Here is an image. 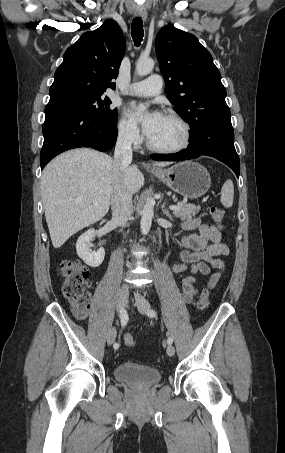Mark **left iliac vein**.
<instances>
[{
  "label": "left iliac vein",
  "mask_w": 285,
  "mask_h": 453,
  "mask_svg": "<svg viewBox=\"0 0 285 453\" xmlns=\"http://www.w3.org/2000/svg\"><path fill=\"white\" fill-rule=\"evenodd\" d=\"M135 299H136V306L138 308V311L142 314H146L150 308L149 302L139 293L135 294ZM167 354L169 356H173L175 354V348L171 344L168 345V347H167Z\"/></svg>",
  "instance_id": "obj_1"
}]
</instances>
